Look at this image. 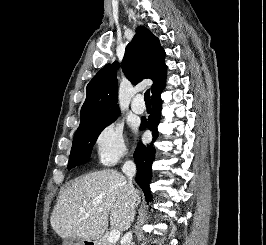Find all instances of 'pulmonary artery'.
Segmentation results:
<instances>
[{
	"instance_id": "e3ab8cb5",
	"label": "pulmonary artery",
	"mask_w": 266,
	"mask_h": 245,
	"mask_svg": "<svg viewBox=\"0 0 266 245\" xmlns=\"http://www.w3.org/2000/svg\"><path fill=\"white\" fill-rule=\"evenodd\" d=\"M143 96L137 94L131 102V109L137 114H141L145 111V105L143 104Z\"/></svg>"
}]
</instances>
